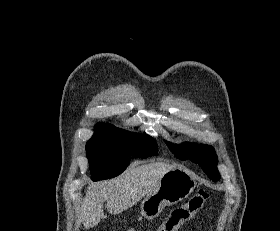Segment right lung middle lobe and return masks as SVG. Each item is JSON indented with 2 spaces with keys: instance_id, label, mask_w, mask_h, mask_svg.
<instances>
[{
  "instance_id": "1",
  "label": "right lung middle lobe",
  "mask_w": 280,
  "mask_h": 231,
  "mask_svg": "<svg viewBox=\"0 0 280 231\" xmlns=\"http://www.w3.org/2000/svg\"><path fill=\"white\" fill-rule=\"evenodd\" d=\"M86 151L93 181L121 174L131 158L158 155L157 144L152 138L102 123L95 125V133L87 142Z\"/></svg>"
}]
</instances>
